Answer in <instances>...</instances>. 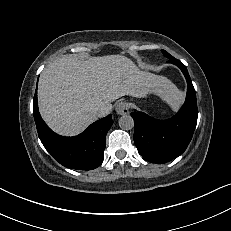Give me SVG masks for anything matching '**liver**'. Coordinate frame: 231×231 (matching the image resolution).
I'll use <instances>...</instances> for the list:
<instances>
[{
	"instance_id": "obj_1",
	"label": "liver",
	"mask_w": 231,
	"mask_h": 231,
	"mask_svg": "<svg viewBox=\"0 0 231 231\" xmlns=\"http://www.w3.org/2000/svg\"><path fill=\"white\" fill-rule=\"evenodd\" d=\"M156 94L167 101L178 96L165 77L140 71L122 55L90 57L80 61L63 55L49 64L38 83L40 113L56 133L74 136L97 120L101 107L111 112V102L129 95L137 98Z\"/></svg>"
}]
</instances>
